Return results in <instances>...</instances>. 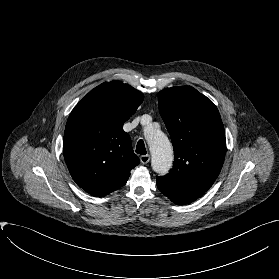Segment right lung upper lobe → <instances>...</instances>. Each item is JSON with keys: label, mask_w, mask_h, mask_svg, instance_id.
<instances>
[{"label": "right lung upper lobe", "mask_w": 279, "mask_h": 279, "mask_svg": "<svg viewBox=\"0 0 279 279\" xmlns=\"http://www.w3.org/2000/svg\"><path fill=\"white\" fill-rule=\"evenodd\" d=\"M143 94L120 81L90 91L71 112L63 154L73 180L94 196L122 187L140 160L123 124L139 107Z\"/></svg>", "instance_id": "1"}]
</instances>
